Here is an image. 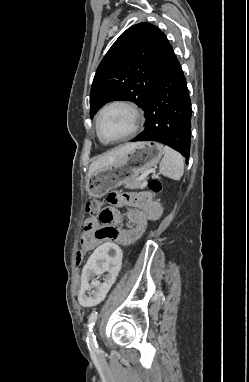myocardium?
<instances>
[{
    "label": "myocardium",
    "mask_w": 249,
    "mask_h": 382,
    "mask_svg": "<svg viewBox=\"0 0 249 382\" xmlns=\"http://www.w3.org/2000/svg\"><path fill=\"white\" fill-rule=\"evenodd\" d=\"M114 107H122L130 113L131 121H132L131 129L128 133H126L125 135H122L120 137L113 138V139H105L104 137H102V135L100 133V126H99L100 119H101L102 115L107 110L114 108ZM143 120L144 119H143V115H142L141 111L139 110V108L134 103L129 102L127 100H113V101L105 104L99 110L97 117H96V120H95L96 134H97L98 138L100 139V141H102L103 143H106V144L125 141V140L132 138L137 133V131L140 129V127L143 124Z\"/></svg>",
    "instance_id": "obj_1"
}]
</instances>
